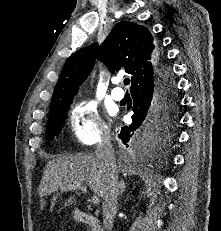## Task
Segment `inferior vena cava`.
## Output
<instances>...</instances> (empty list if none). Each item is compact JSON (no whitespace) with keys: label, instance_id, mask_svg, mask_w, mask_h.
I'll list each match as a JSON object with an SVG mask.
<instances>
[{"label":"inferior vena cava","instance_id":"inferior-vena-cava-1","mask_svg":"<svg viewBox=\"0 0 221 231\" xmlns=\"http://www.w3.org/2000/svg\"><path fill=\"white\" fill-rule=\"evenodd\" d=\"M95 155L97 162L103 169L105 177V190L102 203L103 224L106 231H111L118 204L119 182L118 169L109 132H105L102 135L101 141L96 147Z\"/></svg>","mask_w":221,"mask_h":231}]
</instances>
